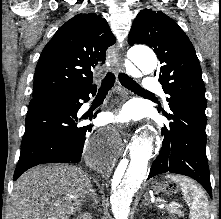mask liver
Listing matches in <instances>:
<instances>
[{
    "label": "liver",
    "mask_w": 221,
    "mask_h": 219,
    "mask_svg": "<svg viewBox=\"0 0 221 219\" xmlns=\"http://www.w3.org/2000/svg\"><path fill=\"white\" fill-rule=\"evenodd\" d=\"M92 190L81 168L55 164L37 166L14 184L10 219H69Z\"/></svg>",
    "instance_id": "liver-1"
}]
</instances>
